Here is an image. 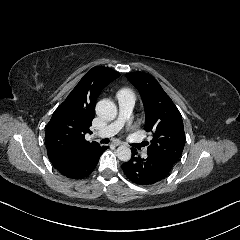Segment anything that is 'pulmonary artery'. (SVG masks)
<instances>
[{"label":"pulmonary artery","instance_id":"obj_1","mask_svg":"<svg viewBox=\"0 0 240 240\" xmlns=\"http://www.w3.org/2000/svg\"><path fill=\"white\" fill-rule=\"evenodd\" d=\"M121 102L122 103L119 104V111H120L119 119L116 122L108 125L104 129H102L101 131L95 133L93 138H95V139L101 138L102 139V138H108V137L112 136L120 129L124 120L131 115V113L133 111V107H134L132 100L130 98L123 97L121 99Z\"/></svg>","mask_w":240,"mask_h":240}]
</instances>
